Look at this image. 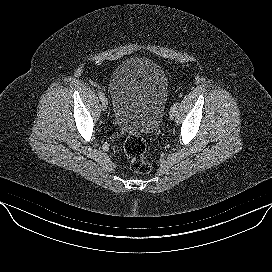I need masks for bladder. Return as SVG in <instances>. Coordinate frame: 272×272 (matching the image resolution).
<instances>
[{
	"label": "bladder",
	"instance_id": "obj_1",
	"mask_svg": "<svg viewBox=\"0 0 272 272\" xmlns=\"http://www.w3.org/2000/svg\"><path fill=\"white\" fill-rule=\"evenodd\" d=\"M109 91L116 125L129 135L150 132L161 120L168 100L163 68L143 57L129 58L114 70Z\"/></svg>",
	"mask_w": 272,
	"mask_h": 272
}]
</instances>
